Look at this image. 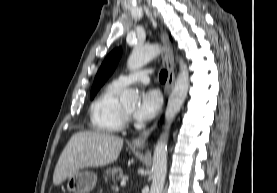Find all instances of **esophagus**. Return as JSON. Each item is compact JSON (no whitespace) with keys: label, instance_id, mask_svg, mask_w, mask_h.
<instances>
[{"label":"esophagus","instance_id":"34e87169","mask_svg":"<svg viewBox=\"0 0 277 193\" xmlns=\"http://www.w3.org/2000/svg\"><path fill=\"white\" fill-rule=\"evenodd\" d=\"M160 38H161L163 45L165 46L164 61L166 63V67H167V71H168V77H167V82H166V86H165V97H167L168 94L171 92V90L174 86V82H175L174 59H173V53L170 50V42H169L168 36L162 30L160 31ZM159 118H160V116L158 117V119L155 121V123L150 128L146 129L139 136L134 138L132 140V145H134L136 147H144L149 135L157 127Z\"/></svg>","mask_w":277,"mask_h":193}]
</instances>
